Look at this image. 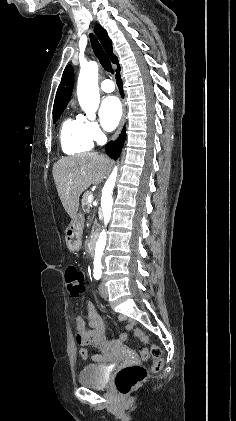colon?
<instances>
[{
  "instance_id": "colon-1",
  "label": "colon",
  "mask_w": 236,
  "mask_h": 421,
  "mask_svg": "<svg viewBox=\"0 0 236 421\" xmlns=\"http://www.w3.org/2000/svg\"><path fill=\"white\" fill-rule=\"evenodd\" d=\"M66 281L68 291L73 298H79L84 292V277L83 273L74 266H71L66 271ZM135 335L141 339L143 343L148 342L147 336L139 329L135 330ZM141 357L144 360L149 358L154 359L152 367L153 371H158L163 366V358L161 349L153 345L150 348H142L140 351ZM148 376L147 369L139 364L129 365L121 368L115 377V385L120 394L126 396L133 389H135Z\"/></svg>"
}]
</instances>
